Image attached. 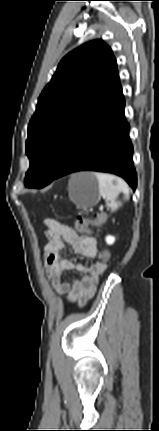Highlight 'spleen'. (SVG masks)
Here are the masks:
<instances>
[{
	"mask_svg": "<svg viewBox=\"0 0 159 431\" xmlns=\"http://www.w3.org/2000/svg\"><path fill=\"white\" fill-rule=\"evenodd\" d=\"M94 175L98 180L100 195L105 199L106 206L112 212L122 205L121 201H117L120 193H123L124 200L129 199V188L123 179L104 173H94Z\"/></svg>",
	"mask_w": 159,
	"mask_h": 431,
	"instance_id": "obj_1",
	"label": "spleen"
}]
</instances>
